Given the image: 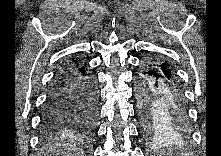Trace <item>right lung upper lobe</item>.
<instances>
[{"label":"right lung upper lobe","instance_id":"obj_1","mask_svg":"<svg viewBox=\"0 0 221 156\" xmlns=\"http://www.w3.org/2000/svg\"><path fill=\"white\" fill-rule=\"evenodd\" d=\"M77 65H78L77 63L76 64H70V65L66 66V68L74 67V66H77Z\"/></svg>","mask_w":221,"mask_h":156}]
</instances>
